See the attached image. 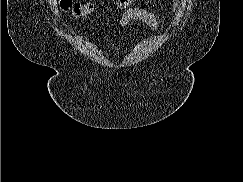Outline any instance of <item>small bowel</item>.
<instances>
[{"mask_svg":"<svg viewBox=\"0 0 243 182\" xmlns=\"http://www.w3.org/2000/svg\"><path fill=\"white\" fill-rule=\"evenodd\" d=\"M130 22H140L149 31H155L158 28L157 17L150 11L143 8L127 9L121 16L119 25L123 27Z\"/></svg>","mask_w":243,"mask_h":182,"instance_id":"1","label":"small bowel"}]
</instances>
